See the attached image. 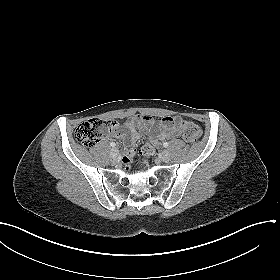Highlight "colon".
<instances>
[{"instance_id":"1","label":"colon","mask_w":280,"mask_h":280,"mask_svg":"<svg viewBox=\"0 0 280 280\" xmlns=\"http://www.w3.org/2000/svg\"><path fill=\"white\" fill-rule=\"evenodd\" d=\"M177 125L180 128L183 138L187 142H196L201 137L202 131L198 125L187 120H178ZM117 124L114 120L90 119L83 122L75 131L76 139L86 147L95 146L102 138L110 134ZM154 147L146 144L141 148V155L150 156ZM133 156H124L122 161L125 166L131 164Z\"/></svg>"}]
</instances>
